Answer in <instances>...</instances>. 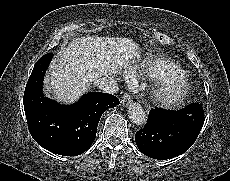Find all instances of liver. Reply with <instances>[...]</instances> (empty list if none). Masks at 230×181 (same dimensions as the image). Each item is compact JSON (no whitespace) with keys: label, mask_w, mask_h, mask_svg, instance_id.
Returning <instances> with one entry per match:
<instances>
[{"label":"liver","mask_w":230,"mask_h":181,"mask_svg":"<svg viewBox=\"0 0 230 181\" xmlns=\"http://www.w3.org/2000/svg\"><path fill=\"white\" fill-rule=\"evenodd\" d=\"M139 56L127 38L78 37L57 54L45 77V91L71 103L96 79L117 73Z\"/></svg>","instance_id":"liver-1"}]
</instances>
